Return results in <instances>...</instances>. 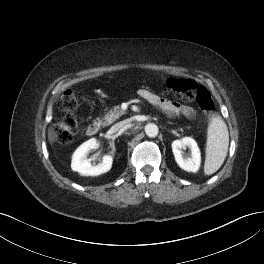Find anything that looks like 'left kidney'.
I'll use <instances>...</instances> for the list:
<instances>
[{"instance_id":"5707ae66","label":"left kidney","mask_w":264,"mask_h":264,"mask_svg":"<svg viewBox=\"0 0 264 264\" xmlns=\"http://www.w3.org/2000/svg\"><path fill=\"white\" fill-rule=\"evenodd\" d=\"M191 150V157H184L183 149ZM175 160L180 168L188 172H197L201 163V153L196 141L191 137H184L172 142Z\"/></svg>"}]
</instances>
